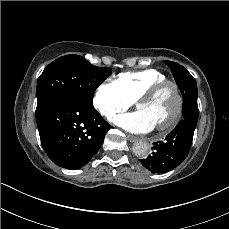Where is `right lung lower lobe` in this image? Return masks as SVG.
<instances>
[{
  "instance_id": "98d812e1",
  "label": "right lung lower lobe",
  "mask_w": 229,
  "mask_h": 229,
  "mask_svg": "<svg viewBox=\"0 0 229 229\" xmlns=\"http://www.w3.org/2000/svg\"><path fill=\"white\" fill-rule=\"evenodd\" d=\"M36 121L44 151L66 169H79L88 163L111 127L93 105L72 97L56 100Z\"/></svg>"
}]
</instances>
